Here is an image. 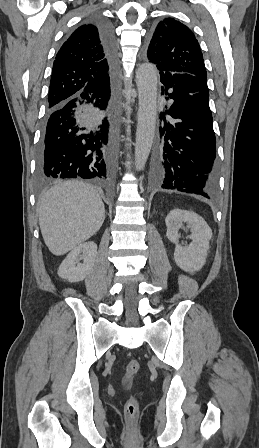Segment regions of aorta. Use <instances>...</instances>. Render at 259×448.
<instances>
[{"mask_svg":"<svg viewBox=\"0 0 259 448\" xmlns=\"http://www.w3.org/2000/svg\"><path fill=\"white\" fill-rule=\"evenodd\" d=\"M158 73L151 63L139 66L136 72L138 89V122L135 143V168L140 171L151 151L157 119Z\"/></svg>","mask_w":259,"mask_h":448,"instance_id":"obj_1","label":"aorta"}]
</instances>
